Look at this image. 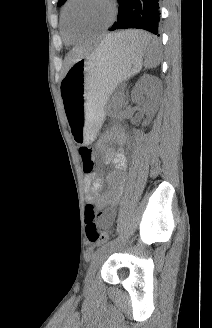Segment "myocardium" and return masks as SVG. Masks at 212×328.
I'll return each instance as SVG.
<instances>
[{
  "mask_svg": "<svg viewBox=\"0 0 212 328\" xmlns=\"http://www.w3.org/2000/svg\"><path fill=\"white\" fill-rule=\"evenodd\" d=\"M74 1L75 0H67L66 4L64 6V9H63V18H64L66 29L68 30L69 33L74 31L70 26V22H69V18H68V10ZM106 2L109 4V6L111 8L110 22L99 28L84 31L83 32L84 34L90 35V34L100 33L102 31L108 29L110 27L111 23L115 20V17L117 15V6L115 3V0H106Z\"/></svg>",
  "mask_w": 212,
  "mask_h": 328,
  "instance_id": "1",
  "label": "myocardium"
}]
</instances>
